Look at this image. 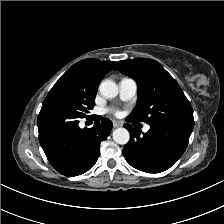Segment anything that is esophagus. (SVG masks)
<instances>
[{
  "mask_svg": "<svg viewBox=\"0 0 224 224\" xmlns=\"http://www.w3.org/2000/svg\"><path fill=\"white\" fill-rule=\"evenodd\" d=\"M121 126V123H119L118 121H113V127L114 128H118Z\"/></svg>",
  "mask_w": 224,
  "mask_h": 224,
  "instance_id": "esophagus-1",
  "label": "esophagus"
}]
</instances>
